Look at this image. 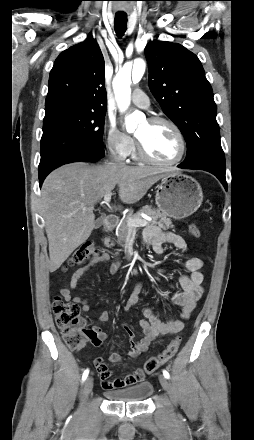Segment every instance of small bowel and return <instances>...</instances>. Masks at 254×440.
<instances>
[{"mask_svg":"<svg viewBox=\"0 0 254 440\" xmlns=\"http://www.w3.org/2000/svg\"><path fill=\"white\" fill-rule=\"evenodd\" d=\"M143 242L146 246L151 247L157 254L163 252L162 246L164 243H171L177 249L183 252L187 251V244L180 235L162 231L156 226H149L144 230ZM108 260V254H98L95 255L86 265L78 268L72 274L69 285L64 286L61 289L60 293L62 297L66 300H71L81 311H89L90 306L86 298L83 296H73L72 292L80 284L83 276L87 272ZM183 267L186 274L179 277L181 290L173 293L171 296V302L180 307L178 316L164 322L150 308H142L141 312L144 317L139 321V326L142 330L143 337L139 340L134 338V333L129 326H124L130 340V357L138 358L142 353L147 351L149 345L155 338L181 331L184 328L185 322L191 317L198 300L204 292L203 274L201 273L203 261L198 257H190L183 262ZM139 293L140 284L137 283L127 299L125 306L126 309L138 305ZM108 319L109 313L107 311H103L98 315V321L100 322H105ZM92 330L94 336L91 337L89 341L94 346L100 347L103 342L107 340L108 335L100 326H94ZM121 360L122 357L118 353H112L108 357V361L111 363H119ZM94 364L99 372L102 386L105 389L123 388L145 381V373L141 369H137L133 373L127 374L121 378L111 380L112 372L108 368L104 358H96Z\"/></svg>","mask_w":254,"mask_h":440,"instance_id":"small-bowel-1","label":"small bowel"}]
</instances>
